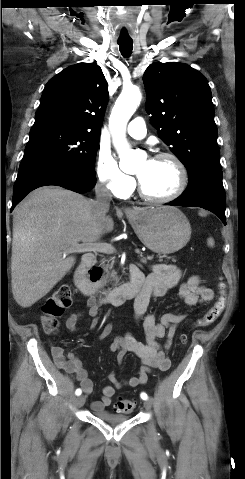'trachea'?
<instances>
[{"mask_svg": "<svg viewBox=\"0 0 245 479\" xmlns=\"http://www.w3.org/2000/svg\"><path fill=\"white\" fill-rule=\"evenodd\" d=\"M117 43L119 45V49H120L121 54L124 57H129L132 53L133 41L132 40H118Z\"/></svg>", "mask_w": 245, "mask_h": 479, "instance_id": "obj_1", "label": "trachea"}]
</instances>
